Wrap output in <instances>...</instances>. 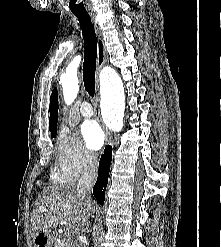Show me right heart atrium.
<instances>
[{
    "instance_id": "right-heart-atrium-1",
    "label": "right heart atrium",
    "mask_w": 221,
    "mask_h": 247,
    "mask_svg": "<svg viewBox=\"0 0 221 247\" xmlns=\"http://www.w3.org/2000/svg\"><path fill=\"white\" fill-rule=\"evenodd\" d=\"M95 155L67 128L60 130L56 143V162L53 177L62 183L74 182L89 170Z\"/></svg>"
}]
</instances>
